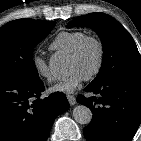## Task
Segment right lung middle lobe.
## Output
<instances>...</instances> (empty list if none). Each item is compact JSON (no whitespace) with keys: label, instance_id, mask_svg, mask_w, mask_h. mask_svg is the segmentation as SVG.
<instances>
[{"label":"right lung middle lobe","instance_id":"dd1d6c3e","mask_svg":"<svg viewBox=\"0 0 141 141\" xmlns=\"http://www.w3.org/2000/svg\"><path fill=\"white\" fill-rule=\"evenodd\" d=\"M55 22L18 19L0 28V80L39 78L32 59L34 47Z\"/></svg>","mask_w":141,"mask_h":141}]
</instances>
